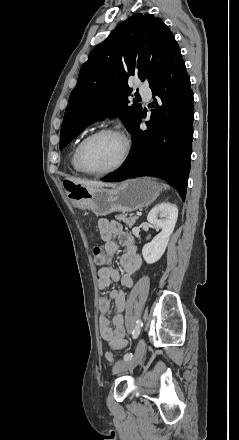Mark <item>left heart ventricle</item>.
I'll list each match as a JSON object with an SVG mask.
<instances>
[{"label":"left heart ventricle","instance_id":"b2bd125f","mask_svg":"<svg viewBox=\"0 0 239 440\" xmlns=\"http://www.w3.org/2000/svg\"><path fill=\"white\" fill-rule=\"evenodd\" d=\"M122 152L121 138L104 134L87 143L83 151V160L89 170L104 171L113 168L118 163Z\"/></svg>","mask_w":239,"mask_h":440}]
</instances>
